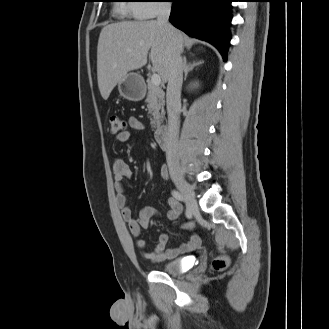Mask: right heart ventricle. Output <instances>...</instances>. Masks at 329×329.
<instances>
[{
    "mask_svg": "<svg viewBox=\"0 0 329 329\" xmlns=\"http://www.w3.org/2000/svg\"><path fill=\"white\" fill-rule=\"evenodd\" d=\"M133 4L131 3H120L117 5V10L122 14L132 12Z\"/></svg>",
    "mask_w": 329,
    "mask_h": 329,
    "instance_id": "1",
    "label": "right heart ventricle"
}]
</instances>
